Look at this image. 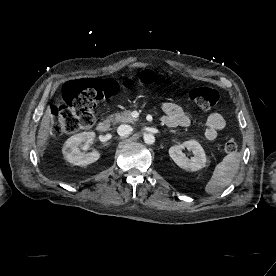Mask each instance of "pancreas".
Segmentation results:
<instances>
[{"label":"pancreas","instance_id":"cf45deb5","mask_svg":"<svg viewBox=\"0 0 276 276\" xmlns=\"http://www.w3.org/2000/svg\"><path fill=\"white\" fill-rule=\"evenodd\" d=\"M131 113L130 110L115 113L108 116L107 121L111 123H135L137 119L133 118Z\"/></svg>","mask_w":276,"mask_h":276}]
</instances>
